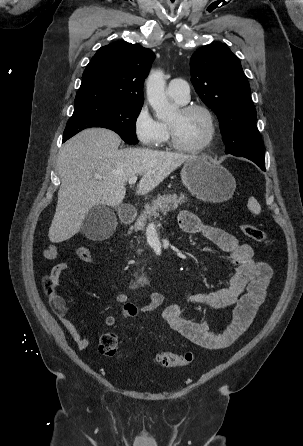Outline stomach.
I'll return each instance as SVG.
<instances>
[{"label": "stomach", "mask_w": 303, "mask_h": 446, "mask_svg": "<svg viewBox=\"0 0 303 446\" xmlns=\"http://www.w3.org/2000/svg\"><path fill=\"white\" fill-rule=\"evenodd\" d=\"M181 179L193 196L205 202H225L233 196L236 188L235 178L227 169L202 157L185 162Z\"/></svg>", "instance_id": "obj_1"}]
</instances>
